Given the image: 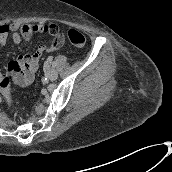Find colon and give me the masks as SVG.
I'll return each mask as SVG.
<instances>
[{
	"instance_id": "obj_1",
	"label": "colon",
	"mask_w": 172,
	"mask_h": 172,
	"mask_svg": "<svg viewBox=\"0 0 172 172\" xmlns=\"http://www.w3.org/2000/svg\"><path fill=\"white\" fill-rule=\"evenodd\" d=\"M38 29H42L43 31L53 35L59 33V29L52 25L43 26V27H39L37 25H29L23 27L22 35L25 37V39H27L31 36V32L37 31ZM61 35L65 36L69 40V42L76 47H83L85 45L86 39L84 35L77 30L74 29L62 30ZM11 85H12V78L10 76L6 75L0 79V92L3 98L5 99V101H7L9 104H12V99L10 96Z\"/></svg>"
}]
</instances>
